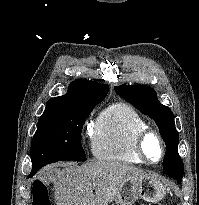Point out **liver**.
Masks as SVG:
<instances>
[{
    "label": "liver",
    "mask_w": 199,
    "mask_h": 205,
    "mask_svg": "<svg viewBox=\"0 0 199 205\" xmlns=\"http://www.w3.org/2000/svg\"><path fill=\"white\" fill-rule=\"evenodd\" d=\"M135 175L145 174L121 162L96 161L82 166L67 163L62 170L54 166L48 168L57 205H108L115 199L123 181Z\"/></svg>",
    "instance_id": "6515ba94"
}]
</instances>
